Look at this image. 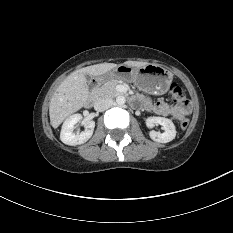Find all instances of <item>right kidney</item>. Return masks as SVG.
Instances as JSON below:
<instances>
[{
    "label": "right kidney",
    "instance_id": "obj_1",
    "mask_svg": "<svg viewBox=\"0 0 233 233\" xmlns=\"http://www.w3.org/2000/svg\"><path fill=\"white\" fill-rule=\"evenodd\" d=\"M81 119V114H73L65 120L60 134V139L64 144L76 146L87 142L91 138L95 128V122L93 120L83 123L85 130L81 133H73L75 125L80 122Z\"/></svg>",
    "mask_w": 233,
    "mask_h": 233
}]
</instances>
